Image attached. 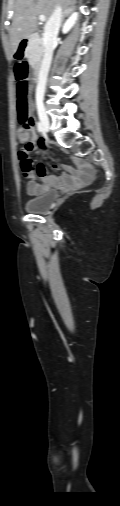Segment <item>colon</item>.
Returning a JSON list of instances; mask_svg holds the SVG:
<instances>
[{"mask_svg":"<svg viewBox=\"0 0 120 506\" xmlns=\"http://www.w3.org/2000/svg\"><path fill=\"white\" fill-rule=\"evenodd\" d=\"M27 49V48H26ZM16 49L12 51V58L18 65L14 71V78L17 80L16 96H17V119L22 124V128L18 132V139L23 144L20 154L23 157H30L33 150L35 136L31 130L32 122L30 121V106L28 101L29 84L27 82L28 67L25 58H18L16 56ZM28 51V50H26Z\"/></svg>","mask_w":120,"mask_h":506,"instance_id":"obj_1","label":"colon"}]
</instances>
